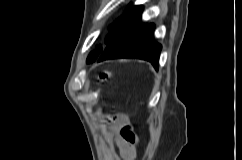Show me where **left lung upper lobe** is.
<instances>
[{
  "label": "left lung upper lobe",
  "mask_w": 242,
  "mask_h": 160,
  "mask_svg": "<svg viewBox=\"0 0 242 160\" xmlns=\"http://www.w3.org/2000/svg\"><path fill=\"white\" fill-rule=\"evenodd\" d=\"M142 6H130L128 11L115 23H113L109 30L111 34H109L106 38V43H108L112 38H114L118 33H120L124 28L131 25L142 13ZM102 52V46L99 45L96 47L95 51L91 52L87 62H93Z\"/></svg>",
  "instance_id": "obj_1"
}]
</instances>
